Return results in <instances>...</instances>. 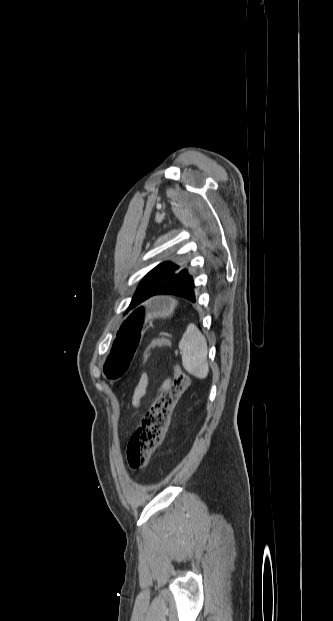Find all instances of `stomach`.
Masks as SVG:
<instances>
[{
    "label": "stomach",
    "instance_id": "stomach-1",
    "mask_svg": "<svg viewBox=\"0 0 333 621\" xmlns=\"http://www.w3.org/2000/svg\"><path fill=\"white\" fill-rule=\"evenodd\" d=\"M173 304L163 297H156L145 307L134 311L113 336L106 352L103 372L108 379H123L128 368H132L139 352L140 332L143 322L152 317H168Z\"/></svg>",
    "mask_w": 333,
    "mask_h": 621
}]
</instances>
